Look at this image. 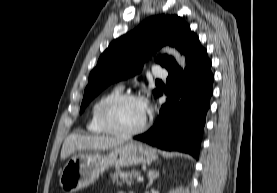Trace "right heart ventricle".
<instances>
[{
  "label": "right heart ventricle",
  "mask_w": 277,
  "mask_h": 193,
  "mask_svg": "<svg viewBox=\"0 0 277 193\" xmlns=\"http://www.w3.org/2000/svg\"><path fill=\"white\" fill-rule=\"evenodd\" d=\"M119 93H121V89L116 87L104 93L94 101L90 108L89 118L86 124V128L90 133L97 135L106 134V131L102 128V126L99 123L98 110L104 100Z\"/></svg>",
  "instance_id": "obj_1"
}]
</instances>
